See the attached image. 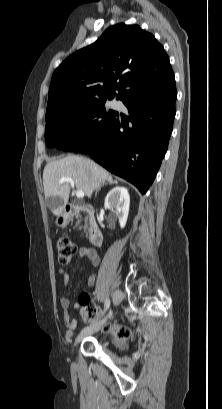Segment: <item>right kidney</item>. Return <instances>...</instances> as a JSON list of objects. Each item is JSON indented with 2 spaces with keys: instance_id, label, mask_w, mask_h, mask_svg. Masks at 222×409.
I'll return each mask as SVG.
<instances>
[{
  "instance_id": "obj_1",
  "label": "right kidney",
  "mask_w": 222,
  "mask_h": 409,
  "mask_svg": "<svg viewBox=\"0 0 222 409\" xmlns=\"http://www.w3.org/2000/svg\"><path fill=\"white\" fill-rule=\"evenodd\" d=\"M105 208L115 210L119 218L121 228H124L127 222L130 206V196L127 188L116 186L106 196Z\"/></svg>"
}]
</instances>
